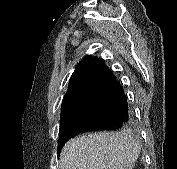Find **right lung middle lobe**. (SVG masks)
Returning a JSON list of instances; mask_svg holds the SVG:
<instances>
[{
    "label": "right lung middle lobe",
    "instance_id": "right-lung-middle-lobe-1",
    "mask_svg": "<svg viewBox=\"0 0 177 169\" xmlns=\"http://www.w3.org/2000/svg\"><path fill=\"white\" fill-rule=\"evenodd\" d=\"M89 94L86 88L81 92L63 99L61 110V122L76 116L88 103Z\"/></svg>",
    "mask_w": 177,
    "mask_h": 169
}]
</instances>
